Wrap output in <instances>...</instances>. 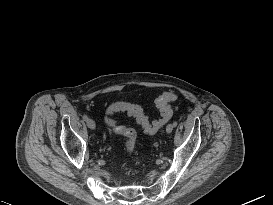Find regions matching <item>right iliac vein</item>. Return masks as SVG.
<instances>
[{
	"label": "right iliac vein",
	"mask_w": 273,
	"mask_h": 205,
	"mask_svg": "<svg viewBox=\"0 0 273 205\" xmlns=\"http://www.w3.org/2000/svg\"><path fill=\"white\" fill-rule=\"evenodd\" d=\"M86 123L89 129L94 130L96 128V124L92 119H88Z\"/></svg>",
	"instance_id": "63e3f726"
}]
</instances>
